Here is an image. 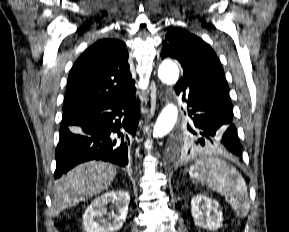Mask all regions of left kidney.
Returning a JSON list of instances; mask_svg holds the SVG:
<instances>
[{
    "instance_id": "left-kidney-1",
    "label": "left kidney",
    "mask_w": 289,
    "mask_h": 232,
    "mask_svg": "<svg viewBox=\"0 0 289 232\" xmlns=\"http://www.w3.org/2000/svg\"><path fill=\"white\" fill-rule=\"evenodd\" d=\"M191 213L195 225L199 227L213 231L222 227L223 213L219 203L206 195L192 197Z\"/></svg>"
}]
</instances>
